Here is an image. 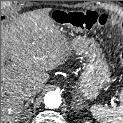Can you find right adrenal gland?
I'll list each match as a JSON object with an SVG mask.
<instances>
[{
	"label": "right adrenal gland",
	"mask_w": 123,
	"mask_h": 123,
	"mask_svg": "<svg viewBox=\"0 0 123 123\" xmlns=\"http://www.w3.org/2000/svg\"><path fill=\"white\" fill-rule=\"evenodd\" d=\"M33 102L32 99L28 100L26 104L24 105V111H31L29 108V105ZM24 118V117H23ZM24 123H28V120H26Z\"/></svg>",
	"instance_id": "1"
}]
</instances>
